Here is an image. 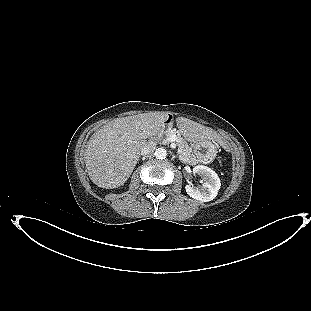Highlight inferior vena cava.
<instances>
[{"label": "inferior vena cava", "mask_w": 311, "mask_h": 311, "mask_svg": "<svg viewBox=\"0 0 311 311\" xmlns=\"http://www.w3.org/2000/svg\"><path fill=\"white\" fill-rule=\"evenodd\" d=\"M155 149V144L153 142L145 143L141 150L142 155H149L151 154Z\"/></svg>", "instance_id": "602c4592"}]
</instances>
